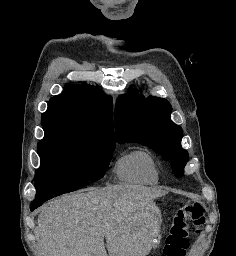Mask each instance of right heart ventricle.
Segmentation results:
<instances>
[{
	"instance_id": "obj_1",
	"label": "right heart ventricle",
	"mask_w": 236,
	"mask_h": 256,
	"mask_svg": "<svg viewBox=\"0 0 236 256\" xmlns=\"http://www.w3.org/2000/svg\"><path fill=\"white\" fill-rule=\"evenodd\" d=\"M116 174L121 182L136 185H155L161 178L159 163L143 149L133 150L121 157Z\"/></svg>"
}]
</instances>
